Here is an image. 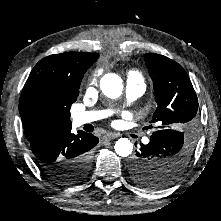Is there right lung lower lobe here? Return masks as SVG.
<instances>
[{"instance_id": "98d812e1", "label": "right lung lower lobe", "mask_w": 221, "mask_h": 221, "mask_svg": "<svg viewBox=\"0 0 221 221\" xmlns=\"http://www.w3.org/2000/svg\"><path fill=\"white\" fill-rule=\"evenodd\" d=\"M93 134L78 131L71 126L45 132L30 142L34 160L40 170L60 184H73L83 180L90 166V150L98 144ZM83 160L80 171L74 162Z\"/></svg>"}]
</instances>
